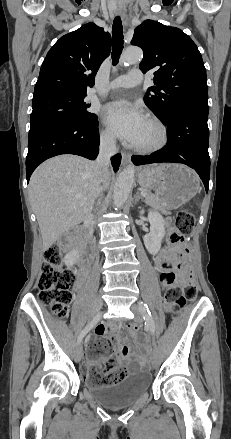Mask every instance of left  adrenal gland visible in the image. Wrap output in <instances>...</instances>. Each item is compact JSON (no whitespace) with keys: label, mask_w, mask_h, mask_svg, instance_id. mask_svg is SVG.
Instances as JSON below:
<instances>
[{"label":"left adrenal gland","mask_w":231,"mask_h":439,"mask_svg":"<svg viewBox=\"0 0 231 439\" xmlns=\"http://www.w3.org/2000/svg\"><path fill=\"white\" fill-rule=\"evenodd\" d=\"M139 199H142L141 195L139 194V191L136 193L134 197V202L136 203Z\"/></svg>","instance_id":"1"}]
</instances>
